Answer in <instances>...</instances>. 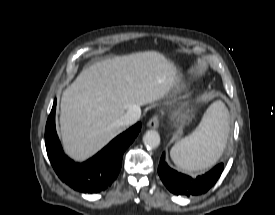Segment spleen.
Here are the masks:
<instances>
[{
	"instance_id": "obj_1",
	"label": "spleen",
	"mask_w": 275,
	"mask_h": 215,
	"mask_svg": "<svg viewBox=\"0 0 275 215\" xmlns=\"http://www.w3.org/2000/svg\"><path fill=\"white\" fill-rule=\"evenodd\" d=\"M229 112L221 101L206 110L200 124L171 149L173 162L186 171L204 170L217 162L229 133Z\"/></svg>"
}]
</instances>
